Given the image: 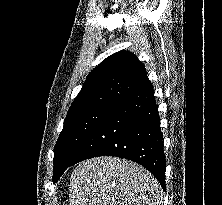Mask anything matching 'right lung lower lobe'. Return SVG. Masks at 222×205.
<instances>
[{
  "mask_svg": "<svg viewBox=\"0 0 222 205\" xmlns=\"http://www.w3.org/2000/svg\"><path fill=\"white\" fill-rule=\"evenodd\" d=\"M98 156L121 157L144 166L165 190L163 135L151 83L132 92L107 112L69 166Z\"/></svg>",
  "mask_w": 222,
  "mask_h": 205,
  "instance_id": "right-lung-lower-lobe-1",
  "label": "right lung lower lobe"
}]
</instances>
